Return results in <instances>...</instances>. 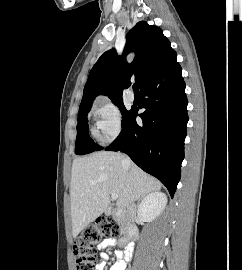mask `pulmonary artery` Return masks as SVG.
Returning <instances> with one entry per match:
<instances>
[{
	"instance_id": "obj_1",
	"label": "pulmonary artery",
	"mask_w": 242,
	"mask_h": 270,
	"mask_svg": "<svg viewBox=\"0 0 242 270\" xmlns=\"http://www.w3.org/2000/svg\"><path fill=\"white\" fill-rule=\"evenodd\" d=\"M127 98L130 100V101H134L135 99V94L132 90L128 91L127 93Z\"/></svg>"
}]
</instances>
